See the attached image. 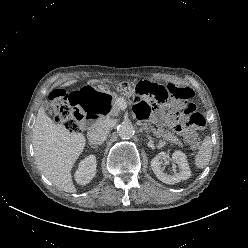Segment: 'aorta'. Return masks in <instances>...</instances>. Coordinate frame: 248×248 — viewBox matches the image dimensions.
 <instances>
[{
	"label": "aorta",
	"mask_w": 248,
	"mask_h": 248,
	"mask_svg": "<svg viewBox=\"0 0 248 248\" xmlns=\"http://www.w3.org/2000/svg\"><path fill=\"white\" fill-rule=\"evenodd\" d=\"M118 135L122 139H130L135 133L134 126L130 122H123L118 126Z\"/></svg>",
	"instance_id": "obj_1"
}]
</instances>
